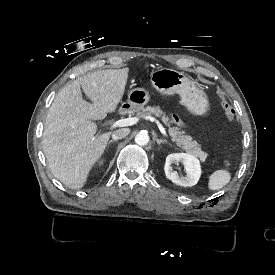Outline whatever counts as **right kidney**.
<instances>
[{"label": "right kidney", "instance_id": "obj_1", "mask_svg": "<svg viewBox=\"0 0 275 275\" xmlns=\"http://www.w3.org/2000/svg\"><path fill=\"white\" fill-rule=\"evenodd\" d=\"M103 164V160H101L100 162H99V165H102Z\"/></svg>", "mask_w": 275, "mask_h": 275}]
</instances>
